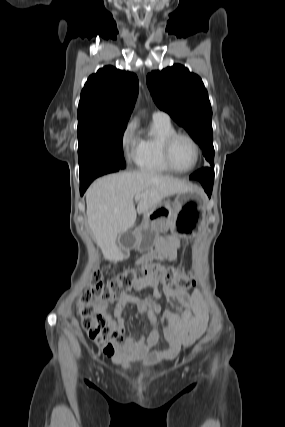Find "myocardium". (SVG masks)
Segmentation results:
<instances>
[{
  "mask_svg": "<svg viewBox=\"0 0 285 427\" xmlns=\"http://www.w3.org/2000/svg\"><path fill=\"white\" fill-rule=\"evenodd\" d=\"M178 138L188 139L192 143V145L195 149L194 163L190 168H188L186 170L177 169L173 165L172 160H171V149H172L173 143ZM162 157H163V161H164L165 165L167 166V168L170 171L178 173V174H187V173L192 172L197 167V165L199 163L200 147H199V144L197 143V141L190 134H188L186 132L175 131L165 138L163 145H162Z\"/></svg>",
  "mask_w": 285,
  "mask_h": 427,
  "instance_id": "obj_1",
  "label": "myocardium"
}]
</instances>
